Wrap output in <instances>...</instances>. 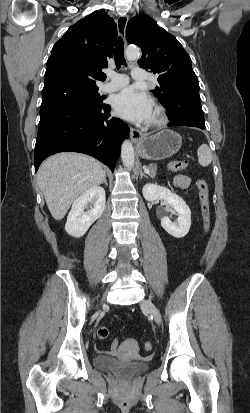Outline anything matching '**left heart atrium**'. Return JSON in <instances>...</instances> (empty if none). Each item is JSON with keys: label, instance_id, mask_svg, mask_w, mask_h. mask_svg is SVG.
<instances>
[{"label": "left heart atrium", "instance_id": "1", "mask_svg": "<svg viewBox=\"0 0 250 413\" xmlns=\"http://www.w3.org/2000/svg\"><path fill=\"white\" fill-rule=\"evenodd\" d=\"M116 113L135 123H146L151 120L153 103L144 92L134 87H127L113 99Z\"/></svg>", "mask_w": 250, "mask_h": 413}]
</instances>
